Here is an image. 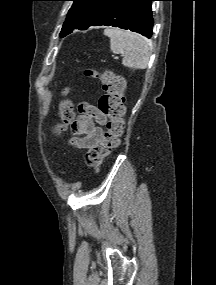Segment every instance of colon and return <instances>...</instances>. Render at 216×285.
Instances as JSON below:
<instances>
[{"instance_id": "obj_1", "label": "colon", "mask_w": 216, "mask_h": 285, "mask_svg": "<svg viewBox=\"0 0 216 285\" xmlns=\"http://www.w3.org/2000/svg\"><path fill=\"white\" fill-rule=\"evenodd\" d=\"M84 75L99 78L104 90L98 110L107 118L106 130L101 140L90 147L85 155L86 164L97 171L102 161L119 146L125 129V79L110 70L98 72L86 69ZM73 117L72 104L67 100L62 101L60 103L61 123L56 130H63L73 120Z\"/></svg>"}]
</instances>
